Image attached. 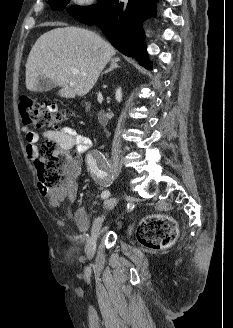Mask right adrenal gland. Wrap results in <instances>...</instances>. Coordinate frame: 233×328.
<instances>
[{
    "label": "right adrenal gland",
    "instance_id": "2a0ac1e0",
    "mask_svg": "<svg viewBox=\"0 0 233 328\" xmlns=\"http://www.w3.org/2000/svg\"><path fill=\"white\" fill-rule=\"evenodd\" d=\"M119 61H120V58H119V57H114V58L110 59V68L107 69L106 71H104V72L102 73L101 76H103L104 74H106V73L112 71V70L115 69V68L120 67V66L118 65V62H119Z\"/></svg>",
    "mask_w": 233,
    "mask_h": 328
}]
</instances>
